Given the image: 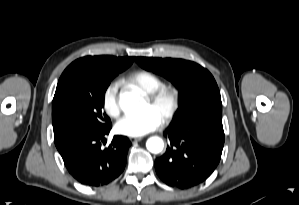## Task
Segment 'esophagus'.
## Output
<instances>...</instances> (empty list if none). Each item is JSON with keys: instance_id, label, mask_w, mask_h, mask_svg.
Returning a JSON list of instances; mask_svg holds the SVG:
<instances>
[{"instance_id": "1", "label": "esophagus", "mask_w": 299, "mask_h": 205, "mask_svg": "<svg viewBox=\"0 0 299 205\" xmlns=\"http://www.w3.org/2000/svg\"><path fill=\"white\" fill-rule=\"evenodd\" d=\"M129 139L131 142H137V141L142 140V137H130Z\"/></svg>"}]
</instances>
